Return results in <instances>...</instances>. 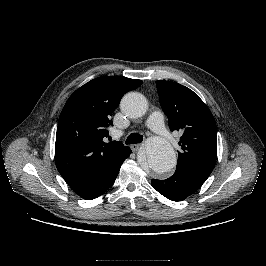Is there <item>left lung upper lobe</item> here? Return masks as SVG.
<instances>
[{"mask_svg": "<svg viewBox=\"0 0 266 266\" xmlns=\"http://www.w3.org/2000/svg\"><path fill=\"white\" fill-rule=\"evenodd\" d=\"M161 107L171 131H181L175 172L205 182L217 159L216 123L206 104L189 88L158 80Z\"/></svg>", "mask_w": 266, "mask_h": 266, "instance_id": "5c2ea615", "label": "left lung upper lobe"}]
</instances>
